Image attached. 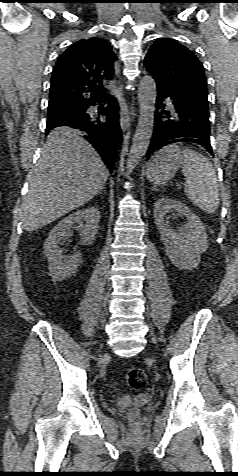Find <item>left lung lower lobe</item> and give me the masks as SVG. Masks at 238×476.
Returning <instances> with one entry per match:
<instances>
[{
    "instance_id": "left-lung-lower-lobe-1",
    "label": "left lung lower lobe",
    "mask_w": 238,
    "mask_h": 476,
    "mask_svg": "<svg viewBox=\"0 0 238 476\" xmlns=\"http://www.w3.org/2000/svg\"><path fill=\"white\" fill-rule=\"evenodd\" d=\"M166 98H170V106L162 103ZM156 110L147 156L150 157L163 147L177 142L196 144L214 156L209 138L208 110L181 104L162 91H158Z\"/></svg>"
}]
</instances>
